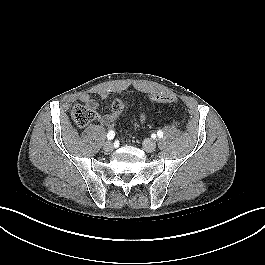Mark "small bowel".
Wrapping results in <instances>:
<instances>
[{
    "label": "small bowel",
    "instance_id": "c3829d8e",
    "mask_svg": "<svg viewBox=\"0 0 265 265\" xmlns=\"http://www.w3.org/2000/svg\"><path fill=\"white\" fill-rule=\"evenodd\" d=\"M153 96H156V97H158V98H157V99H155V98L153 99ZM161 96H164V94H152V95L149 96V98H150L151 100H153V101L161 102L160 99H159V97H161ZM79 100H80L81 102L86 103V104H90V105H92V106H94V107H97V103H96V101H95L94 99H92V98H91L89 95H87V94H83V95H81V96L79 97ZM146 119H147V115H146L145 112L142 111V112L139 114V122H140V123H144V122L146 121ZM98 121H99V123H100L102 126H105V127L112 126V125L114 124V122H115L114 118H112L110 114L100 115V116L98 117Z\"/></svg>",
    "mask_w": 265,
    "mask_h": 265
}]
</instances>
